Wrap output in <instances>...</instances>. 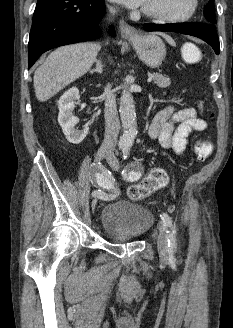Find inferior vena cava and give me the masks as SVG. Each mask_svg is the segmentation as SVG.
I'll return each instance as SVG.
<instances>
[{"label":"inferior vena cava","mask_w":233,"mask_h":328,"mask_svg":"<svg viewBox=\"0 0 233 328\" xmlns=\"http://www.w3.org/2000/svg\"><path fill=\"white\" fill-rule=\"evenodd\" d=\"M111 13H115L114 8L110 9ZM105 136L101 149L106 153H113L120 129V122L116 106L115 95L111 92V87L108 85L105 89Z\"/></svg>","instance_id":"obj_1"}]
</instances>
